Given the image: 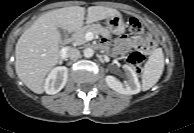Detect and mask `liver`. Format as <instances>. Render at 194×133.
<instances>
[{
	"instance_id": "liver-1",
	"label": "liver",
	"mask_w": 194,
	"mask_h": 133,
	"mask_svg": "<svg viewBox=\"0 0 194 133\" xmlns=\"http://www.w3.org/2000/svg\"><path fill=\"white\" fill-rule=\"evenodd\" d=\"M121 15L116 9L91 6L87 9L86 23H93ZM85 20V9L65 7L41 15L18 39L15 47V70L19 79L34 93L44 92L48 73L60 59L58 28L72 33L80 29Z\"/></svg>"
}]
</instances>
